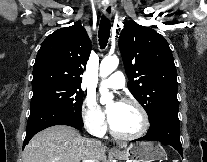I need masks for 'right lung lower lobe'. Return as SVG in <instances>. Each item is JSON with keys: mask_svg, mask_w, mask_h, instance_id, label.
I'll list each match as a JSON object with an SVG mask.
<instances>
[{"mask_svg": "<svg viewBox=\"0 0 207 162\" xmlns=\"http://www.w3.org/2000/svg\"><path fill=\"white\" fill-rule=\"evenodd\" d=\"M54 125H68L76 129L83 126L82 117L55 106H38L31 109L23 147L39 131Z\"/></svg>", "mask_w": 207, "mask_h": 162, "instance_id": "1", "label": "right lung lower lobe"}]
</instances>
